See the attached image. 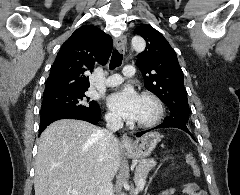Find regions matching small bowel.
I'll return each instance as SVG.
<instances>
[{"label":"small bowel","instance_id":"obj_1","mask_svg":"<svg viewBox=\"0 0 240 195\" xmlns=\"http://www.w3.org/2000/svg\"><path fill=\"white\" fill-rule=\"evenodd\" d=\"M175 192L176 190L174 188H167L159 192L158 195H174ZM182 192L186 195H207V193L194 182H186L182 187Z\"/></svg>","mask_w":240,"mask_h":195}]
</instances>
